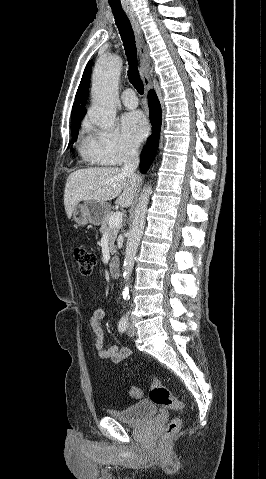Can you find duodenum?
Returning <instances> with one entry per match:
<instances>
[{
	"label": "duodenum",
	"instance_id": "duodenum-1",
	"mask_svg": "<svg viewBox=\"0 0 266 479\" xmlns=\"http://www.w3.org/2000/svg\"><path fill=\"white\" fill-rule=\"evenodd\" d=\"M109 271L112 278H119L120 276V264L117 257H112L109 265Z\"/></svg>",
	"mask_w": 266,
	"mask_h": 479
}]
</instances>
